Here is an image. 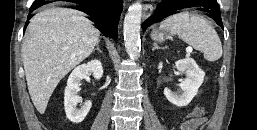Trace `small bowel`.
<instances>
[{
	"mask_svg": "<svg viewBox=\"0 0 257 130\" xmlns=\"http://www.w3.org/2000/svg\"><path fill=\"white\" fill-rule=\"evenodd\" d=\"M201 120H189L182 125V130H195Z\"/></svg>",
	"mask_w": 257,
	"mask_h": 130,
	"instance_id": "small-bowel-1",
	"label": "small bowel"
}]
</instances>
